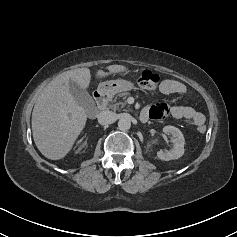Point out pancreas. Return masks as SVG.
Masks as SVG:
<instances>
[{
  "label": "pancreas",
  "mask_w": 237,
  "mask_h": 237,
  "mask_svg": "<svg viewBox=\"0 0 237 237\" xmlns=\"http://www.w3.org/2000/svg\"><path fill=\"white\" fill-rule=\"evenodd\" d=\"M128 94H124V98H126ZM126 106V102H116V100H113L112 103L109 104V108L116 111V110H121Z\"/></svg>",
  "instance_id": "cf45deb5"
}]
</instances>
